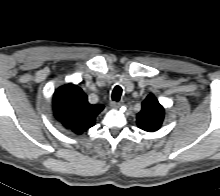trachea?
Returning <instances> with one entry per match:
<instances>
[{"label":"trachea","mask_w":220,"mask_h":196,"mask_svg":"<svg viewBox=\"0 0 220 196\" xmlns=\"http://www.w3.org/2000/svg\"><path fill=\"white\" fill-rule=\"evenodd\" d=\"M122 95V88L120 86H115L112 91V100L118 102Z\"/></svg>","instance_id":"trachea-1"}]
</instances>
